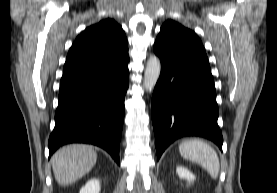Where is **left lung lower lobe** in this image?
<instances>
[{"label": "left lung lower lobe", "instance_id": "obj_1", "mask_svg": "<svg viewBox=\"0 0 277 193\" xmlns=\"http://www.w3.org/2000/svg\"><path fill=\"white\" fill-rule=\"evenodd\" d=\"M154 52L161 60V74L151 102L157 160L172 142L184 136L207 138L222 149L209 62L177 55L157 40Z\"/></svg>", "mask_w": 277, "mask_h": 193}]
</instances>
